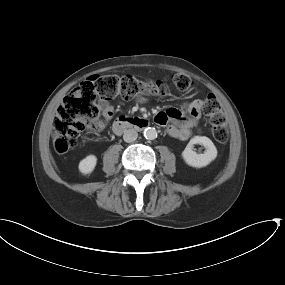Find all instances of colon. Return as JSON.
Here are the masks:
<instances>
[{
    "mask_svg": "<svg viewBox=\"0 0 285 285\" xmlns=\"http://www.w3.org/2000/svg\"><path fill=\"white\" fill-rule=\"evenodd\" d=\"M174 86L179 91L188 90L191 79L177 73L172 77ZM164 86L160 82H144L131 75L93 76L88 81L76 86L64 99L57 111L53 127V146L57 153L63 154L73 149L81 132L89 120L99 116L97 99L113 98L115 96L135 97L152 94L163 95ZM203 112L209 117L211 135L219 143L228 139V127L225 113L218 99L212 94H206L202 101ZM154 123L163 126L168 118L160 112L153 118Z\"/></svg>",
    "mask_w": 285,
    "mask_h": 285,
    "instance_id": "colon-1",
    "label": "colon"
}]
</instances>
